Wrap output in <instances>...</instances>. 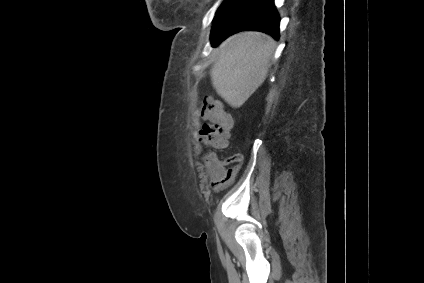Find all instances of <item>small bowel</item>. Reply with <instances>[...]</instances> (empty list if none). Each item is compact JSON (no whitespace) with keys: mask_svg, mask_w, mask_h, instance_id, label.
Instances as JSON below:
<instances>
[{"mask_svg":"<svg viewBox=\"0 0 424 283\" xmlns=\"http://www.w3.org/2000/svg\"><path fill=\"white\" fill-rule=\"evenodd\" d=\"M243 162L240 154H235L226 158L214 156V162L207 164L209 182L215 191H220L228 187L234 181Z\"/></svg>","mask_w":424,"mask_h":283,"instance_id":"1","label":"small bowel"}]
</instances>
